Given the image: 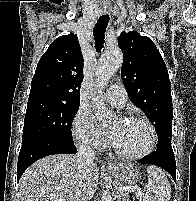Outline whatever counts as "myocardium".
Instances as JSON below:
<instances>
[{"instance_id":"myocardium-1","label":"myocardium","mask_w":196,"mask_h":201,"mask_svg":"<svg viewBox=\"0 0 196 201\" xmlns=\"http://www.w3.org/2000/svg\"><path fill=\"white\" fill-rule=\"evenodd\" d=\"M129 119L133 120V121H139L147 126V128L149 130V134H150V141H149L147 148L144 151L137 153V154L126 153L119 148V146L115 143V141L113 139H112V146H113L115 153L123 159L141 160V159L147 157L148 155H150L154 151L156 144H157V133H156L155 127L152 124V122L149 119H147L146 117L134 115V116L129 117Z\"/></svg>"}]
</instances>
